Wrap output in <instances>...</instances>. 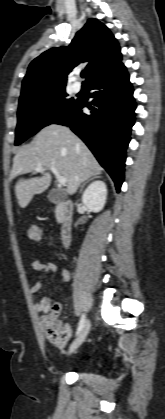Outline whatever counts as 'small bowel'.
<instances>
[{"mask_svg": "<svg viewBox=\"0 0 165 419\" xmlns=\"http://www.w3.org/2000/svg\"><path fill=\"white\" fill-rule=\"evenodd\" d=\"M43 236H44V234H43ZM58 269H60V272H61V278H62L61 279V284H65V283L69 282L70 273L64 266L59 267L53 261L41 262L40 260L35 259L32 262V270H33V273H34L35 282H34L33 286L30 288V292L32 294H35L41 289V287H42V274H44V273H54ZM50 301H51V299H50L49 296L42 297L39 301H37L35 303V309L40 313H43V314L47 313ZM57 346L60 350H63L65 348L66 344L61 345V346L57 345Z\"/></svg>", "mask_w": 165, "mask_h": 419, "instance_id": "obj_1", "label": "small bowel"}]
</instances>
